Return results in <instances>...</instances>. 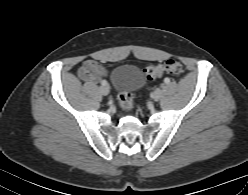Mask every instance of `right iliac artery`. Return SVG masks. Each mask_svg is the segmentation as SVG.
<instances>
[{
  "label": "right iliac artery",
  "instance_id": "1",
  "mask_svg": "<svg viewBox=\"0 0 248 195\" xmlns=\"http://www.w3.org/2000/svg\"><path fill=\"white\" fill-rule=\"evenodd\" d=\"M101 84H102L103 86H105V85H107V82H106V81H102Z\"/></svg>",
  "mask_w": 248,
  "mask_h": 195
}]
</instances>
